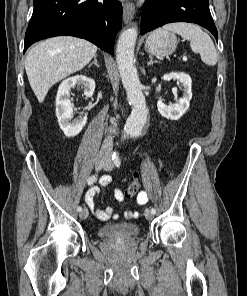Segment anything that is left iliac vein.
Listing matches in <instances>:
<instances>
[{"label":"left iliac vein","instance_id":"1","mask_svg":"<svg viewBox=\"0 0 247 296\" xmlns=\"http://www.w3.org/2000/svg\"><path fill=\"white\" fill-rule=\"evenodd\" d=\"M103 169L106 171H111L113 169V162L111 158L106 159ZM144 214L147 220H152L154 217V214L149 209H146Z\"/></svg>","mask_w":247,"mask_h":296}]
</instances>
